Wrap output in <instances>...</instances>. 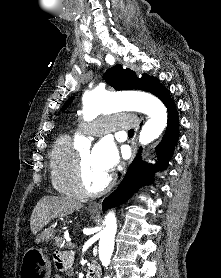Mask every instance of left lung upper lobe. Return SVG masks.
<instances>
[{
    "instance_id": "left-lung-upper-lobe-1",
    "label": "left lung upper lobe",
    "mask_w": 221,
    "mask_h": 278,
    "mask_svg": "<svg viewBox=\"0 0 221 278\" xmlns=\"http://www.w3.org/2000/svg\"><path fill=\"white\" fill-rule=\"evenodd\" d=\"M103 78L116 90L138 89L148 91L159 97L166 106L172 101L169 90L163 87L157 78L147 74L138 78L134 71L128 68L123 69L121 65H116L107 70ZM72 100L73 97L64 104L62 110H65Z\"/></svg>"
}]
</instances>
